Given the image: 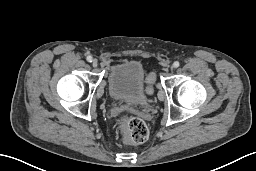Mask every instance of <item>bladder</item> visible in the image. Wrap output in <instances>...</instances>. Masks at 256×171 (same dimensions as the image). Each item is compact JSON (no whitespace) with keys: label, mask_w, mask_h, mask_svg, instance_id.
Returning <instances> with one entry per match:
<instances>
[{"label":"bladder","mask_w":256,"mask_h":171,"mask_svg":"<svg viewBox=\"0 0 256 171\" xmlns=\"http://www.w3.org/2000/svg\"><path fill=\"white\" fill-rule=\"evenodd\" d=\"M108 90L114 99L126 105L147 104L142 64L130 60L114 65L108 75Z\"/></svg>","instance_id":"bladder-1"}]
</instances>
